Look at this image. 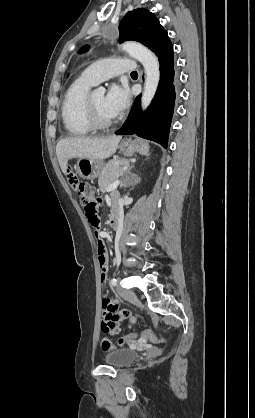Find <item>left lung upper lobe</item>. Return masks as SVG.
Returning <instances> with one entry per match:
<instances>
[{"label":"left lung upper lobe","instance_id":"left-lung-upper-lobe-1","mask_svg":"<svg viewBox=\"0 0 255 418\" xmlns=\"http://www.w3.org/2000/svg\"><path fill=\"white\" fill-rule=\"evenodd\" d=\"M169 39L156 16L147 9L138 8L128 12L119 25V42L139 41L156 53ZM87 46L80 52H85Z\"/></svg>","mask_w":255,"mask_h":418}]
</instances>
